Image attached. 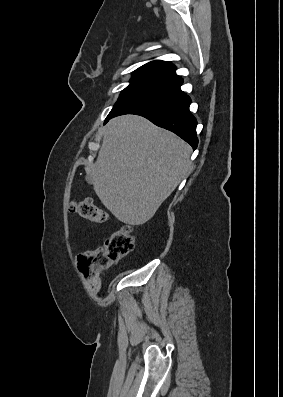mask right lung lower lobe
<instances>
[{"mask_svg":"<svg viewBox=\"0 0 283 397\" xmlns=\"http://www.w3.org/2000/svg\"><path fill=\"white\" fill-rule=\"evenodd\" d=\"M181 84L182 81L149 95L122 109L113 117L123 114L143 116L155 125L174 132L195 150L198 145L197 120L189 111L191 99L181 91Z\"/></svg>","mask_w":283,"mask_h":397,"instance_id":"98d812e1","label":"right lung lower lobe"}]
</instances>
